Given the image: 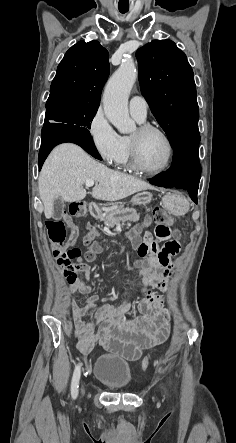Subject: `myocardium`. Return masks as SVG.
Segmentation results:
<instances>
[{"label": "myocardium", "instance_id": "f54148a6", "mask_svg": "<svg viewBox=\"0 0 236 443\" xmlns=\"http://www.w3.org/2000/svg\"><path fill=\"white\" fill-rule=\"evenodd\" d=\"M151 132H155V133H158L159 135H161L164 138V140L166 141V144L168 146V159H167L166 163L164 164V166H162L159 169H154V170L145 167L141 161V158H140L138 138L134 137V136L129 137L131 161H132L133 167L137 171L147 174V175H158V174H161V173L167 171L170 168V166L173 162V159H174V145H173V142H172L170 136L162 128H160L156 125H152L149 123H142L137 128V133L139 136H142V135H145V134H148Z\"/></svg>", "mask_w": 236, "mask_h": 443}]
</instances>
